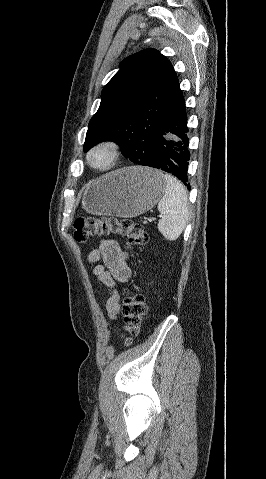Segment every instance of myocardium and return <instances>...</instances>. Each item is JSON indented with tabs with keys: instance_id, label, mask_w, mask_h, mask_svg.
<instances>
[{
	"instance_id": "obj_1",
	"label": "myocardium",
	"mask_w": 266,
	"mask_h": 479,
	"mask_svg": "<svg viewBox=\"0 0 266 479\" xmlns=\"http://www.w3.org/2000/svg\"><path fill=\"white\" fill-rule=\"evenodd\" d=\"M98 155H104L106 162L98 164L95 159ZM120 155V146L112 140H103L96 143L87 153V162L90 167L99 172H107L116 164Z\"/></svg>"
}]
</instances>
